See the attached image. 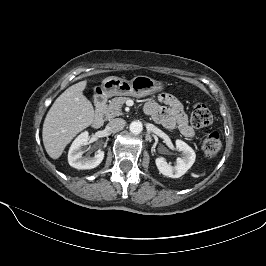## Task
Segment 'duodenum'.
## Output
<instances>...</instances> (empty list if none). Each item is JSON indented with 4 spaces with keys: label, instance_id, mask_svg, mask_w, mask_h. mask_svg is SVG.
I'll return each mask as SVG.
<instances>
[{
    "label": "duodenum",
    "instance_id": "obj_1",
    "mask_svg": "<svg viewBox=\"0 0 266 266\" xmlns=\"http://www.w3.org/2000/svg\"><path fill=\"white\" fill-rule=\"evenodd\" d=\"M106 93L102 90H98L94 95L95 113L92 118V126L99 128L103 124V106L106 102Z\"/></svg>",
    "mask_w": 266,
    "mask_h": 266
}]
</instances>
